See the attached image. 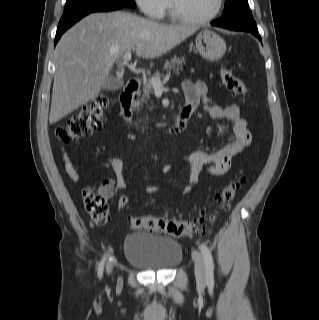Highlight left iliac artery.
<instances>
[{
  "label": "left iliac artery",
  "instance_id": "44dca946",
  "mask_svg": "<svg viewBox=\"0 0 319 320\" xmlns=\"http://www.w3.org/2000/svg\"><path fill=\"white\" fill-rule=\"evenodd\" d=\"M199 248L205 261L207 283L209 286H214V265L211 252L207 245L204 243H202Z\"/></svg>",
  "mask_w": 319,
  "mask_h": 320
}]
</instances>
